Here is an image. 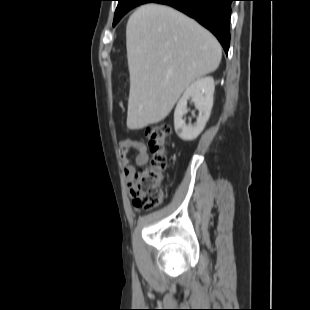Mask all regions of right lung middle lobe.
I'll return each instance as SVG.
<instances>
[{
	"label": "right lung middle lobe",
	"instance_id": "1",
	"mask_svg": "<svg viewBox=\"0 0 310 310\" xmlns=\"http://www.w3.org/2000/svg\"><path fill=\"white\" fill-rule=\"evenodd\" d=\"M118 6L115 11L113 26L132 8L144 3L151 2L152 0H118Z\"/></svg>",
	"mask_w": 310,
	"mask_h": 310
}]
</instances>
